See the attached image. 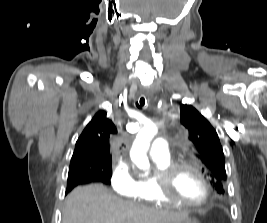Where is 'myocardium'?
Listing matches in <instances>:
<instances>
[{
    "mask_svg": "<svg viewBox=\"0 0 267 223\" xmlns=\"http://www.w3.org/2000/svg\"><path fill=\"white\" fill-rule=\"evenodd\" d=\"M185 168L193 170L201 178L205 186V195L203 199L198 202L183 200L177 197L172 191V184L175 177L182 169ZM155 183L158 194L165 203L176 204L187 208H199L203 206L208 202L211 195V186L205 173L198 165L188 161L173 162L169 166L160 170L157 172Z\"/></svg>",
    "mask_w": 267,
    "mask_h": 223,
    "instance_id": "f54148a6",
    "label": "myocardium"
}]
</instances>
